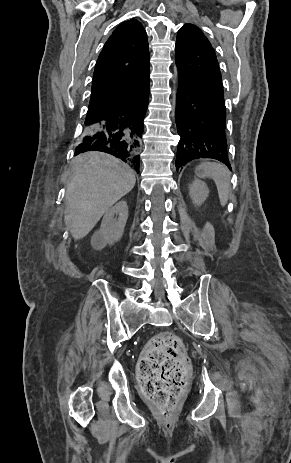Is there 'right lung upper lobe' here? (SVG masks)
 I'll return each instance as SVG.
<instances>
[{"mask_svg":"<svg viewBox=\"0 0 291 463\" xmlns=\"http://www.w3.org/2000/svg\"><path fill=\"white\" fill-rule=\"evenodd\" d=\"M148 84L147 34L139 21L131 19L114 30L98 57L85 123L117 109Z\"/></svg>","mask_w":291,"mask_h":463,"instance_id":"cb5924a9","label":"right lung upper lobe"}]
</instances>
